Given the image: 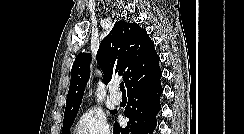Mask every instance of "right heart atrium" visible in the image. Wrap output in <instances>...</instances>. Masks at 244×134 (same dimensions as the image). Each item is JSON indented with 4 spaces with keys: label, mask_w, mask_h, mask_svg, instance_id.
Wrapping results in <instances>:
<instances>
[{
    "label": "right heart atrium",
    "mask_w": 244,
    "mask_h": 134,
    "mask_svg": "<svg viewBox=\"0 0 244 134\" xmlns=\"http://www.w3.org/2000/svg\"><path fill=\"white\" fill-rule=\"evenodd\" d=\"M75 134H112L107 117L102 112L89 110L77 121Z\"/></svg>",
    "instance_id": "d8ad5b80"
}]
</instances>
